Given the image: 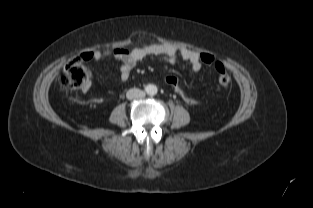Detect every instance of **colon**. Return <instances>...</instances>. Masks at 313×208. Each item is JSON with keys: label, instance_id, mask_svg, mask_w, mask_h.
<instances>
[{"label": "colon", "instance_id": "obj_1", "mask_svg": "<svg viewBox=\"0 0 313 208\" xmlns=\"http://www.w3.org/2000/svg\"><path fill=\"white\" fill-rule=\"evenodd\" d=\"M200 60L207 65H212L218 76V83L222 87H228L231 83V77L225 66L215 57L208 53H200ZM91 73L83 64V58L78 57L69 62L60 78V83L65 89H83L88 86ZM166 82L172 86L178 98L188 106H197L198 102L191 97L179 80L175 76L166 77Z\"/></svg>", "mask_w": 313, "mask_h": 208}]
</instances>
